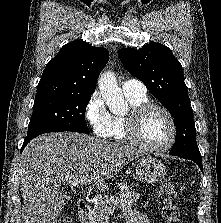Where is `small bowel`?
<instances>
[{
    "label": "small bowel",
    "instance_id": "small-bowel-1",
    "mask_svg": "<svg viewBox=\"0 0 221 223\" xmlns=\"http://www.w3.org/2000/svg\"><path fill=\"white\" fill-rule=\"evenodd\" d=\"M126 223H150L148 217L138 211L128 210L124 213Z\"/></svg>",
    "mask_w": 221,
    "mask_h": 223
}]
</instances>
